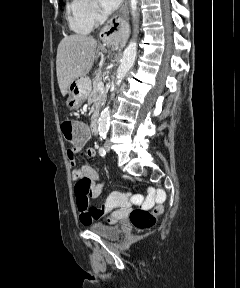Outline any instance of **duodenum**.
Instances as JSON below:
<instances>
[{"instance_id": "duodenum-1", "label": "duodenum", "mask_w": 240, "mask_h": 288, "mask_svg": "<svg viewBox=\"0 0 240 288\" xmlns=\"http://www.w3.org/2000/svg\"><path fill=\"white\" fill-rule=\"evenodd\" d=\"M99 111H95L91 118V129L94 135L99 133Z\"/></svg>"}]
</instances>
